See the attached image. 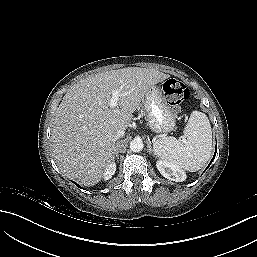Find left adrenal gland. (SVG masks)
Returning <instances> with one entry per match:
<instances>
[{
  "mask_svg": "<svg viewBox=\"0 0 257 257\" xmlns=\"http://www.w3.org/2000/svg\"><path fill=\"white\" fill-rule=\"evenodd\" d=\"M148 149H149V152H150V153H152V152H153V150H152V146H151V142H150V141L148 142Z\"/></svg>",
  "mask_w": 257,
  "mask_h": 257,
  "instance_id": "1",
  "label": "left adrenal gland"
}]
</instances>
